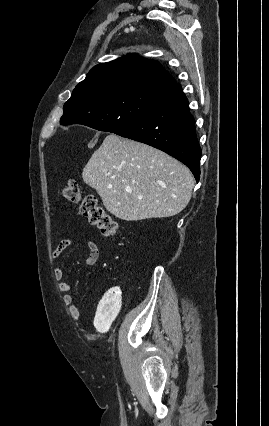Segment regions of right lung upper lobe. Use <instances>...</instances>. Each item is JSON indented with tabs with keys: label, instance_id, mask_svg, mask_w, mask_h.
I'll list each match as a JSON object with an SVG mask.
<instances>
[{
	"label": "right lung upper lobe",
	"instance_id": "cb5924a9",
	"mask_svg": "<svg viewBox=\"0 0 269 426\" xmlns=\"http://www.w3.org/2000/svg\"><path fill=\"white\" fill-rule=\"evenodd\" d=\"M176 83L171 75L155 60L129 54L93 67L73 93L84 96L97 92L118 90H145L162 92ZM72 93V94H73Z\"/></svg>",
	"mask_w": 269,
	"mask_h": 426
}]
</instances>
